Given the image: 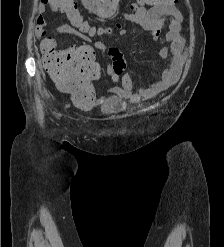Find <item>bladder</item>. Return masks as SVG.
Wrapping results in <instances>:
<instances>
[{
    "instance_id": "31cf9c89",
    "label": "bladder",
    "mask_w": 224,
    "mask_h": 247,
    "mask_svg": "<svg viewBox=\"0 0 224 247\" xmlns=\"http://www.w3.org/2000/svg\"><path fill=\"white\" fill-rule=\"evenodd\" d=\"M119 111V105L115 100H108L100 106V113L105 116L116 114Z\"/></svg>"
}]
</instances>
